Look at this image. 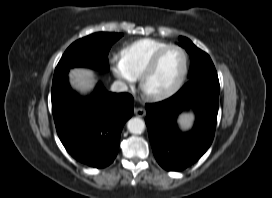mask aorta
Segmentation results:
<instances>
[{
    "mask_svg": "<svg viewBox=\"0 0 272 198\" xmlns=\"http://www.w3.org/2000/svg\"><path fill=\"white\" fill-rule=\"evenodd\" d=\"M127 128L132 134H141L145 129V123L142 119L134 117L128 121Z\"/></svg>",
    "mask_w": 272,
    "mask_h": 198,
    "instance_id": "aorta-1",
    "label": "aorta"
}]
</instances>
